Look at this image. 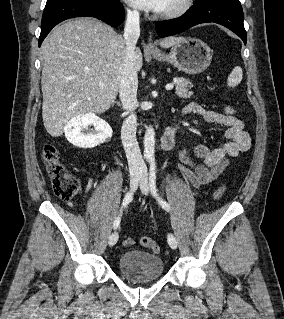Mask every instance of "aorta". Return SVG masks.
Here are the masks:
<instances>
[{
  "instance_id": "aorta-1",
  "label": "aorta",
  "mask_w": 284,
  "mask_h": 319,
  "mask_svg": "<svg viewBox=\"0 0 284 319\" xmlns=\"http://www.w3.org/2000/svg\"><path fill=\"white\" fill-rule=\"evenodd\" d=\"M155 150V131L152 126L146 128L144 136V158L148 160L154 159Z\"/></svg>"
}]
</instances>
